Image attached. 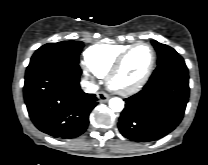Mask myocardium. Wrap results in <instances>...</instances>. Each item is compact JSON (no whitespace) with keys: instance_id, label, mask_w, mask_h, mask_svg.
Here are the masks:
<instances>
[{"instance_id":"f54148a6","label":"myocardium","mask_w":208,"mask_h":165,"mask_svg":"<svg viewBox=\"0 0 208 165\" xmlns=\"http://www.w3.org/2000/svg\"><path fill=\"white\" fill-rule=\"evenodd\" d=\"M145 46L150 49L151 51V60L148 68L144 72V74L141 76L140 79H138L136 82L129 84V85H122L117 83V76L121 72L127 58L129 55L138 47ZM156 63V52L152 45L146 42H138L133 45H130L128 48H126L116 59L114 64L112 65L111 69L109 70L107 74V83L111 90L118 94L122 95H130L137 91H139L149 80L154 67Z\"/></svg>"}]
</instances>
